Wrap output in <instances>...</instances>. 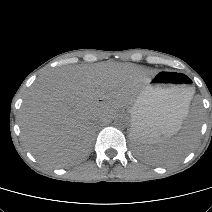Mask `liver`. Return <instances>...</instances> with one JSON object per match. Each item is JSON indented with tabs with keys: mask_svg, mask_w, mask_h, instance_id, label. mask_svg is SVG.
I'll return each mask as SVG.
<instances>
[{
	"mask_svg": "<svg viewBox=\"0 0 212 212\" xmlns=\"http://www.w3.org/2000/svg\"><path fill=\"white\" fill-rule=\"evenodd\" d=\"M153 74L131 63H98L55 69L37 79L19 115L21 138L48 166L84 158L99 122L131 105Z\"/></svg>",
	"mask_w": 212,
	"mask_h": 212,
	"instance_id": "6515ba94",
	"label": "liver"
}]
</instances>
